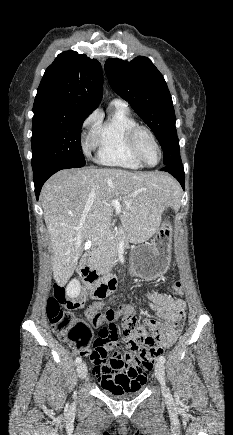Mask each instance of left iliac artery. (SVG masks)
<instances>
[{
  "label": "left iliac artery",
  "mask_w": 233,
  "mask_h": 435,
  "mask_svg": "<svg viewBox=\"0 0 233 435\" xmlns=\"http://www.w3.org/2000/svg\"><path fill=\"white\" fill-rule=\"evenodd\" d=\"M159 360H160L162 363H165V361H166V359H165L164 356H160V357H159Z\"/></svg>",
  "instance_id": "44dca946"
}]
</instances>
